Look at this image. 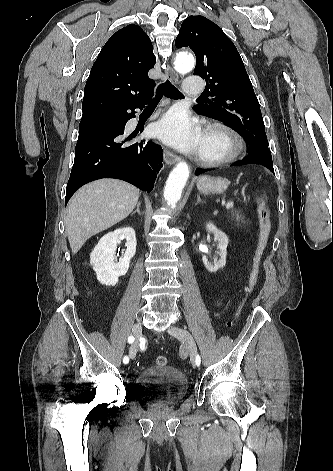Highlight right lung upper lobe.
Listing matches in <instances>:
<instances>
[{
    "label": "right lung upper lobe",
    "instance_id": "obj_1",
    "mask_svg": "<svg viewBox=\"0 0 333 471\" xmlns=\"http://www.w3.org/2000/svg\"><path fill=\"white\" fill-rule=\"evenodd\" d=\"M156 57L148 35L130 24L118 30L99 53L85 85L82 118L133 105L152 94L148 71Z\"/></svg>",
    "mask_w": 333,
    "mask_h": 471
}]
</instances>
